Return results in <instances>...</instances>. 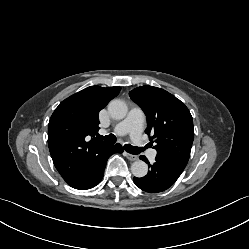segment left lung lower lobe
Here are the masks:
<instances>
[{"instance_id":"1","label":"left lung lower lobe","mask_w":249,"mask_h":249,"mask_svg":"<svg viewBox=\"0 0 249 249\" xmlns=\"http://www.w3.org/2000/svg\"><path fill=\"white\" fill-rule=\"evenodd\" d=\"M140 159L148 163L150 171L142 178L134 177L133 181L136 186L149 193H158L168 189L175 183L183 171V169L169 165L158 159H156L153 165L149 164L145 156H141Z\"/></svg>"}]
</instances>
